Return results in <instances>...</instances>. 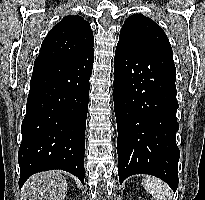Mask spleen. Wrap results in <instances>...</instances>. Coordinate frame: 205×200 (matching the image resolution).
<instances>
[{
	"instance_id": "3e777b00",
	"label": "spleen",
	"mask_w": 205,
	"mask_h": 200,
	"mask_svg": "<svg viewBox=\"0 0 205 200\" xmlns=\"http://www.w3.org/2000/svg\"><path fill=\"white\" fill-rule=\"evenodd\" d=\"M142 185L155 200H172L170 187L161 179L146 176L142 179Z\"/></svg>"
}]
</instances>
